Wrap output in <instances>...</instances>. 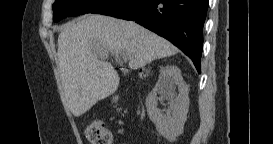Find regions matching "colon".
I'll use <instances>...</instances> for the list:
<instances>
[{
    "mask_svg": "<svg viewBox=\"0 0 273 144\" xmlns=\"http://www.w3.org/2000/svg\"><path fill=\"white\" fill-rule=\"evenodd\" d=\"M86 137L92 144H109L112 141L110 130L101 121H94L87 126Z\"/></svg>",
    "mask_w": 273,
    "mask_h": 144,
    "instance_id": "colon-1",
    "label": "colon"
}]
</instances>
